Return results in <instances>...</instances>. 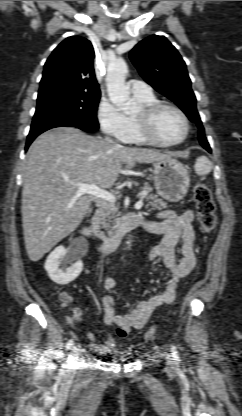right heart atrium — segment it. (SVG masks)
<instances>
[{
  "instance_id": "obj_1",
  "label": "right heart atrium",
  "mask_w": 242,
  "mask_h": 416,
  "mask_svg": "<svg viewBox=\"0 0 242 416\" xmlns=\"http://www.w3.org/2000/svg\"><path fill=\"white\" fill-rule=\"evenodd\" d=\"M97 120L102 131L124 141L130 130L128 117L110 100L102 99L97 107Z\"/></svg>"
}]
</instances>
